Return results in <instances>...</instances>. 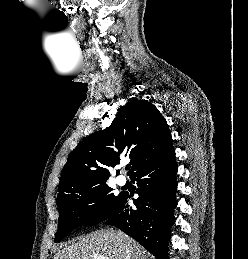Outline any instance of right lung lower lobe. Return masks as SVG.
<instances>
[{
    "label": "right lung lower lobe",
    "mask_w": 248,
    "mask_h": 259,
    "mask_svg": "<svg viewBox=\"0 0 248 259\" xmlns=\"http://www.w3.org/2000/svg\"><path fill=\"white\" fill-rule=\"evenodd\" d=\"M177 170L175 151L137 170L131 176L138 186L135 207L127 204L131 195L124 193L116 213L106 221L138 241L156 259H168L167 243L177 206Z\"/></svg>",
    "instance_id": "obj_1"
}]
</instances>
